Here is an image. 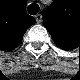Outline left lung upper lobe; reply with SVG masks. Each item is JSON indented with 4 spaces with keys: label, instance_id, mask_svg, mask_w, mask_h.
<instances>
[{
    "label": "left lung upper lobe",
    "instance_id": "1",
    "mask_svg": "<svg viewBox=\"0 0 80 80\" xmlns=\"http://www.w3.org/2000/svg\"><path fill=\"white\" fill-rule=\"evenodd\" d=\"M69 1L55 0L43 15L44 26L58 45L70 44L75 32Z\"/></svg>",
    "mask_w": 80,
    "mask_h": 80
}]
</instances>
